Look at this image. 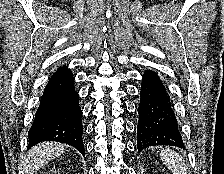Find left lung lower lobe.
<instances>
[{
	"mask_svg": "<svg viewBox=\"0 0 224 174\" xmlns=\"http://www.w3.org/2000/svg\"><path fill=\"white\" fill-rule=\"evenodd\" d=\"M138 115V151L156 145L184 147L165 85L157 73L150 70L145 71L142 78Z\"/></svg>",
	"mask_w": 224,
	"mask_h": 174,
	"instance_id": "left-lung-lower-lobe-1",
	"label": "left lung lower lobe"
}]
</instances>
